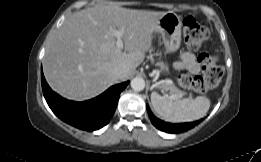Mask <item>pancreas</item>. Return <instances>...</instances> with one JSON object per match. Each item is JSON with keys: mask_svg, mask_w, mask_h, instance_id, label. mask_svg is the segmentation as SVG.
Wrapping results in <instances>:
<instances>
[{"mask_svg": "<svg viewBox=\"0 0 261 162\" xmlns=\"http://www.w3.org/2000/svg\"><path fill=\"white\" fill-rule=\"evenodd\" d=\"M158 55V54H156ZM154 61V60H152ZM157 65L161 66L162 68L164 67V64L162 62H158ZM159 88H162L164 90H177L178 93H182L180 90L176 89L173 85L162 83L158 86Z\"/></svg>", "mask_w": 261, "mask_h": 162, "instance_id": "1", "label": "pancreas"}]
</instances>
